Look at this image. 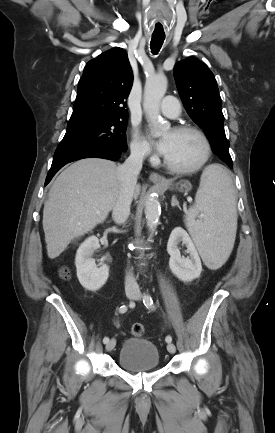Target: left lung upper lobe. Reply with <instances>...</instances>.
<instances>
[{
	"mask_svg": "<svg viewBox=\"0 0 275 433\" xmlns=\"http://www.w3.org/2000/svg\"><path fill=\"white\" fill-rule=\"evenodd\" d=\"M173 73L187 113L204 130L214 153L229 167L232 166L228 151L230 142L223 126L221 97L213 73L194 57L178 62Z\"/></svg>",
	"mask_w": 275,
	"mask_h": 433,
	"instance_id": "5c2ea615",
	"label": "left lung upper lobe"
}]
</instances>
